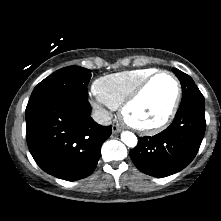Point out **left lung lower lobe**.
<instances>
[{"label":"left lung lower lobe","instance_id":"0a47b994","mask_svg":"<svg viewBox=\"0 0 221 221\" xmlns=\"http://www.w3.org/2000/svg\"><path fill=\"white\" fill-rule=\"evenodd\" d=\"M206 128L205 102L181 105L174 122L161 133L140 138L130 152L135 166L154 177L181 171L196 156Z\"/></svg>","mask_w":221,"mask_h":221}]
</instances>
